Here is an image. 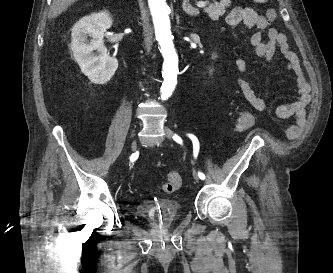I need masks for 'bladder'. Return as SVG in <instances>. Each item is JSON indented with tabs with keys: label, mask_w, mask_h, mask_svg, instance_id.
Masks as SVG:
<instances>
[{
	"label": "bladder",
	"mask_w": 333,
	"mask_h": 273,
	"mask_svg": "<svg viewBox=\"0 0 333 273\" xmlns=\"http://www.w3.org/2000/svg\"><path fill=\"white\" fill-rule=\"evenodd\" d=\"M136 211L155 227H170L181 217L180 205L170 199L138 204Z\"/></svg>",
	"instance_id": "bladder-1"
}]
</instances>
